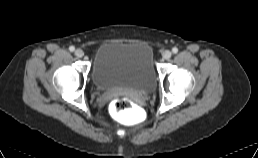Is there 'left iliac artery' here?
<instances>
[{
    "instance_id": "44dca946",
    "label": "left iliac artery",
    "mask_w": 258,
    "mask_h": 158,
    "mask_svg": "<svg viewBox=\"0 0 258 158\" xmlns=\"http://www.w3.org/2000/svg\"><path fill=\"white\" fill-rule=\"evenodd\" d=\"M172 52H173L174 54H176V53L178 52V48H176V47L172 48Z\"/></svg>"
}]
</instances>
